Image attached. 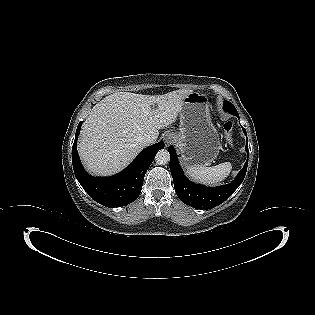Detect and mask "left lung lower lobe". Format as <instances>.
<instances>
[{"label":"left lung lower lobe","instance_id":"1","mask_svg":"<svg viewBox=\"0 0 315 315\" xmlns=\"http://www.w3.org/2000/svg\"><path fill=\"white\" fill-rule=\"evenodd\" d=\"M236 117L239 118V115H236ZM242 129L247 136L246 130L244 128ZM246 151L248 153V139L246 144ZM169 153L170 171L173 177L175 192L177 196L183 203L188 204L193 208H198L202 210L216 207L217 205L223 203L227 198H229L244 180L248 166L247 160L244 164V167L238 173L232 183L218 187H206L203 185L195 184L185 177L179 165L176 152L172 146H169Z\"/></svg>","mask_w":315,"mask_h":315}]
</instances>
